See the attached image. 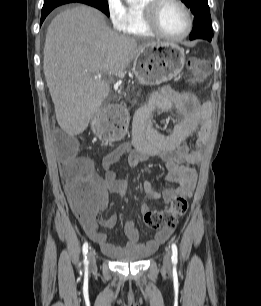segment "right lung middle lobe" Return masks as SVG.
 Instances as JSON below:
<instances>
[{
  "instance_id": "right-lung-middle-lobe-1",
  "label": "right lung middle lobe",
  "mask_w": 261,
  "mask_h": 306,
  "mask_svg": "<svg viewBox=\"0 0 261 306\" xmlns=\"http://www.w3.org/2000/svg\"><path fill=\"white\" fill-rule=\"evenodd\" d=\"M72 2H78V3H84L90 6H93L99 10H101L103 13H105L107 16H109V7L107 0H80V1H67V0H44V5L42 8V11L54 9L57 6H60L62 4L66 3H72Z\"/></svg>"
}]
</instances>
